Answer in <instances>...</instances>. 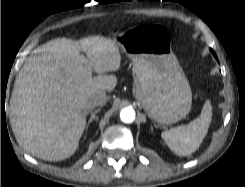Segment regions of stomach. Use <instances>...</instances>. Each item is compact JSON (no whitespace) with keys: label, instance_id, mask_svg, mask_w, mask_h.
Wrapping results in <instances>:
<instances>
[{"label":"stomach","instance_id":"0dacf381","mask_svg":"<svg viewBox=\"0 0 245 187\" xmlns=\"http://www.w3.org/2000/svg\"><path fill=\"white\" fill-rule=\"evenodd\" d=\"M133 62V94L147 115L173 124L191 110L192 92L171 49V33L160 24H144L109 37Z\"/></svg>","mask_w":245,"mask_h":187}]
</instances>
